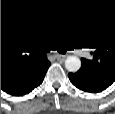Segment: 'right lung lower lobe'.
Segmentation results:
<instances>
[{
    "mask_svg": "<svg viewBox=\"0 0 115 114\" xmlns=\"http://www.w3.org/2000/svg\"><path fill=\"white\" fill-rule=\"evenodd\" d=\"M49 65L50 63L46 66H43L25 81H15L12 85L2 87L1 90L13 96H22L28 94L43 82Z\"/></svg>",
    "mask_w": 115,
    "mask_h": 114,
    "instance_id": "obj_1",
    "label": "right lung lower lobe"
}]
</instances>
